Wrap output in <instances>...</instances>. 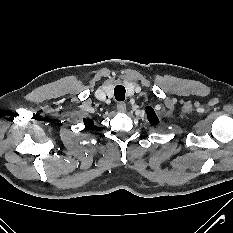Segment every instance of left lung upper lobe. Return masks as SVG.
<instances>
[{
    "mask_svg": "<svg viewBox=\"0 0 233 233\" xmlns=\"http://www.w3.org/2000/svg\"><path fill=\"white\" fill-rule=\"evenodd\" d=\"M147 117L151 125H155L159 122L157 115L152 107H147L146 109Z\"/></svg>",
    "mask_w": 233,
    "mask_h": 233,
    "instance_id": "left-lung-upper-lobe-1",
    "label": "left lung upper lobe"
}]
</instances>
